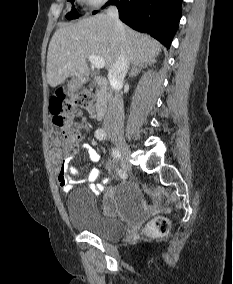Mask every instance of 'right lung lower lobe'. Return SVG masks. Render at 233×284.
Masks as SVG:
<instances>
[{
  "mask_svg": "<svg viewBox=\"0 0 233 284\" xmlns=\"http://www.w3.org/2000/svg\"><path fill=\"white\" fill-rule=\"evenodd\" d=\"M181 1L110 0L105 6L116 5L119 18L124 23L135 30L149 33L169 48L181 17Z\"/></svg>",
  "mask_w": 233,
  "mask_h": 284,
  "instance_id": "obj_1",
  "label": "right lung lower lobe"
}]
</instances>
